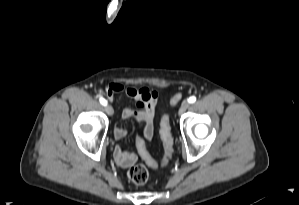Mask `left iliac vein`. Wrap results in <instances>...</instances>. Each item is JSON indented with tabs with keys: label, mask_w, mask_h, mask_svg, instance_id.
I'll list each match as a JSON object with an SVG mask.
<instances>
[{
	"label": "left iliac vein",
	"mask_w": 299,
	"mask_h": 205,
	"mask_svg": "<svg viewBox=\"0 0 299 205\" xmlns=\"http://www.w3.org/2000/svg\"><path fill=\"white\" fill-rule=\"evenodd\" d=\"M189 106L190 104L188 101H183L179 109V115L183 114L188 109Z\"/></svg>",
	"instance_id": "obj_1"
}]
</instances>
